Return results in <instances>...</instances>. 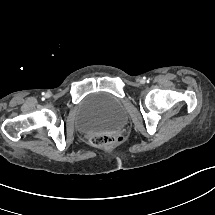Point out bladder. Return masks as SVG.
Instances as JSON below:
<instances>
[{
	"label": "bladder",
	"instance_id": "31cf9c89",
	"mask_svg": "<svg viewBox=\"0 0 215 215\" xmlns=\"http://www.w3.org/2000/svg\"><path fill=\"white\" fill-rule=\"evenodd\" d=\"M126 119L127 112L119 99L94 95L79 104L74 125L82 134H110L118 132Z\"/></svg>",
	"mask_w": 215,
	"mask_h": 215
}]
</instances>
